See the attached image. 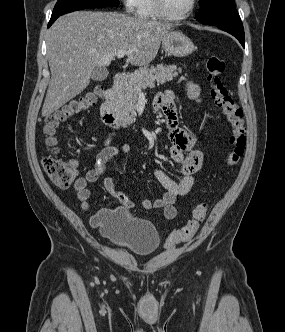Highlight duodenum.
<instances>
[{"label":"duodenum","instance_id":"1","mask_svg":"<svg viewBox=\"0 0 285 332\" xmlns=\"http://www.w3.org/2000/svg\"><path fill=\"white\" fill-rule=\"evenodd\" d=\"M125 74L118 73L113 79L111 87L105 91L104 102L100 108V114L103 122L114 129H120L122 124L117 112V99L125 84Z\"/></svg>","mask_w":285,"mask_h":332}]
</instances>
